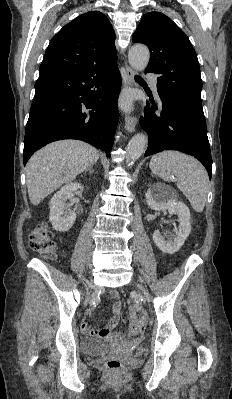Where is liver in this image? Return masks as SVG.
I'll use <instances>...</instances> for the list:
<instances>
[{
	"label": "liver",
	"mask_w": 232,
	"mask_h": 399,
	"mask_svg": "<svg viewBox=\"0 0 232 399\" xmlns=\"http://www.w3.org/2000/svg\"><path fill=\"white\" fill-rule=\"evenodd\" d=\"M97 160L99 154L95 148L76 140L53 142L38 150L26 166L29 200L38 205L62 184L72 182L78 174L96 164Z\"/></svg>",
	"instance_id": "obj_1"
}]
</instances>
